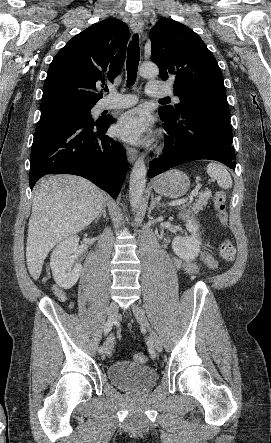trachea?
Here are the masks:
<instances>
[{"label": "trachea", "instance_id": "trachea-1", "mask_svg": "<svg viewBox=\"0 0 271 443\" xmlns=\"http://www.w3.org/2000/svg\"><path fill=\"white\" fill-rule=\"evenodd\" d=\"M140 52H139V37L134 35L132 41L129 43L127 52V87L133 85L136 80L137 69L139 65ZM159 101H170L169 98H162Z\"/></svg>", "mask_w": 271, "mask_h": 443}]
</instances>
